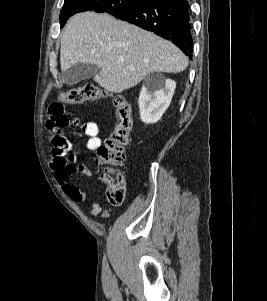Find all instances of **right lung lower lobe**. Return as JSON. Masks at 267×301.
<instances>
[{
    "instance_id": "1",
    "label": "right lung lower lobe",
    "mask_w": 267,
    "mask_h": 301,
    "mask_svg": "<svg viewBox=\"0 0 267 301\" xmlns=\"http://www.w3.org/2000/svg\"><path fill=\"white\" fill-rule=\"evenodd\" d=\"M114 16L171 41L192 59V25L187 0H146Z\"/></svg>"
}]
</instances>
